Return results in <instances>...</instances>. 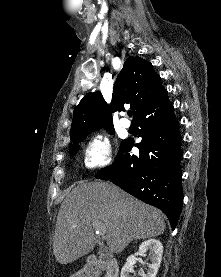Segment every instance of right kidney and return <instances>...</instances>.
<instances>
[{"label": "right kidney", "instance_id": "right-kidney-1", "mask_svg": "<svg viewBox=\"0 0 221 277\" xmlns=\"http://www.w3.org/2000/svg\"><path fill=\"white\" fill-rule=\"evenodd\" d=\"M149 251L150 261L151 263L148 265L147 272H140L141 277H156L158 269L161 264L162 254H163V246L162 243L155 239H149L139 246L138 252L134 255H130L127 258V261L123 268L121 269L120 277H130V273L133 272V266L138 260V256L146 255V252Z\"/></svg>", "mask_w": 221, "mask_h": 277}]
</instances>
